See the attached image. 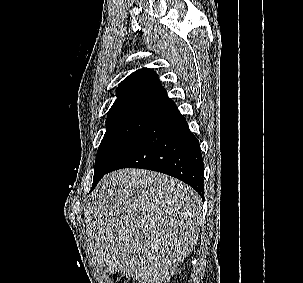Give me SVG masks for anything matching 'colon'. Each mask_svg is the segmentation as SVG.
<instances>
[{
	"label": "colon",
	"mask_w": 303,
	"mask_h": 283,
	"mask_svg": "<svg viewBox=\"0 0 303 283\" xmlns=\"http://www.w3.org/2000/svg\"><path fill=\"white\" fill-rule=\"evenodd\" d=\"M113 279L115 283H135L133 280L120 275L119 273H113Z\"/></svg>",
	"instance_id": "5ec220e1"
}]
</instances>
